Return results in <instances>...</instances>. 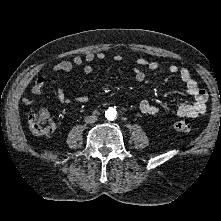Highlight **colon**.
Instances as JSON below:
<instances>
[{"label":"colon","mask_w":221,"mask_h":221,"mask_svg":"<svg viewBox=\"0 0 221 221\" xmlns=\"http://www.w3.org/2000/svg\"><path fill=\"white\" fill-rule=\"evenodd\" d=\"M28 123L31 131L38 136L51 134L55 129V124L51 120L46 110L40 109L29 115ZM173 129L179 133H188L191 129L189 119H180L173 123Z\"/></svg>","instance_id":"1"}]
</instances>
